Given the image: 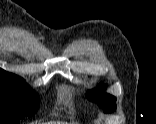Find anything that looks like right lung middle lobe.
I'll list each match as a JSON object with an SVG mask.
<instances>
[{"label": "right lung middle lobe", "mask_w": 156, "mask_h": 124, "mask_svg": "<svg viewBox=\"0 0 156 124\" xmlns=\"http://www.w3.org/2000/svg\"><path fill=\"white\" fill-rule=\"evenodd\" d=\"M39 103V96L23 79L0 77V124H14L33 115Z\"/></svg>", "instance_id": "1"}]
</instances>
